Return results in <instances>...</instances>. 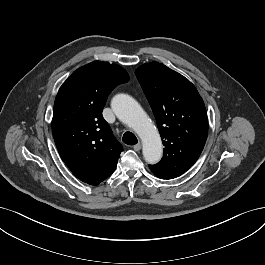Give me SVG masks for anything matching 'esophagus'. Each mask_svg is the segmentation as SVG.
Wrapping results in <instances>:
<instances>
[{"label": "esophagus", "mask_w": 265, "mask_h": 265, "mask_svg": "<svg viewBox=\"0 0 265 265\" xmlns=\"http://www.w3.org/2000/svg\"><path fill=\"white\" fill-rule=\"evenodd\" d=\"M141 147H142V145L140 143H138V144H136V145L133 146V149L135 151H140L141 150Z\"/></svg>", "instance_id": "esophagus-1"}]
</instances>
